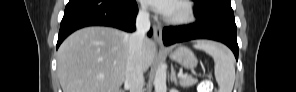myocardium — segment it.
Masks as SVG:
<instances>
[{
  "label": "myocardium",
  "mask_w": 296,
  "mask_h": 92,
  "mask_svg": "<svg viewBox=\"0 0 296 92\" xmlns=\"http://www.w3.org/2000/svg\"><path fill=\"white\" fill-rule=\"evenodd\" d=\"M175 4L178 7V12L175 15H170L167 18V22L174 25H181L190 23L194 20L195 10L190 2L177 1Z\"/></svg>",
  "instance_id": "myocardium-1"
}]
</instances>
